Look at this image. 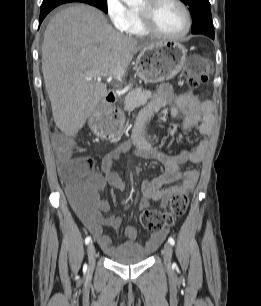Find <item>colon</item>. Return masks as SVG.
<instances>
[{
  "mask_svg": "<svg viewBox=\"0 0 261 306\" xmlns=\"http://www.w3.org/2000/svg\"><path fill=\"white\" fill-rule=\"evenodd\" d=\"M210 70L211 65L205 58L190 57L185 65L187 83L190 87L197 88L206 81ZM95 123L100 126L101 133L107 138L115 137L120 129L119 119L113 113L96 117ZM69 146V140H63L59 143L62 157L68 159L61 167L60 175L68 187L73 204L81 206L93 196V190L87 182L89 167L83 159H69ZM188 203L189 199L186 194H175L171 199L168 211L144 210L140 215V222L148 230H161L170 227L177 218L184 215Z\"/></svg>",
  "mask_w": 261,
  "mask_h": 306,
  "instance_id": "1",
  "label": "colon"
}]
</instances>
